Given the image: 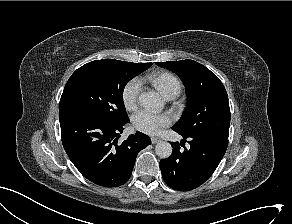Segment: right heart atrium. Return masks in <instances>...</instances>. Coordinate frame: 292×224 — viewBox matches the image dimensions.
Listing matches in <instances>:
<instances>
[{"mask_svg":"<svg viewBox=\"0 0 292 224\" xmlns=\"http://www.w3.org/2000/svg\"><path fill=\"white\" fill-rule=\"evenodd\" d=\"M141 84L138 79L128 81L122 90V100L127 110H133L137 106Z\"/></svg>","mask_w":292,"mask_h":224,"instance_id":"1","label":"right heart atrium"}]
</instances>
